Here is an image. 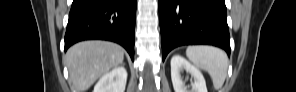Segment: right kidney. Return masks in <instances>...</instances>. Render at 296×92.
<instances>
[{
	"mask_svg": "<svg viewBox=\"0 0 296 92\" xmlns=\"http://www.w3.org/2000/svg\"><path fill=\"white\" fill-rule=\"evenodd\" d=\"M127 71L123 66L116 67L104 74L94 87L93 92H124Z\"/></svg>",
	"mask_w": 296,
	"mask_h": 92,
	"instance_id": "ca27d5eb",
	"label": "right kidney"
}]
</instances>
